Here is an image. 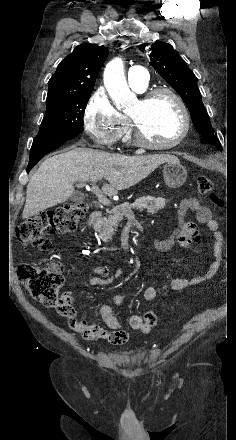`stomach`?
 Segmentation results:
<instances>
[{
	"label": "stomach",
	"instance_id": "0dacf381",
	"mask_svg": "<svg viewBox=\"0 0 236 440\" xmlns=\"http://www.w3.org/2000/svg\"><path fill=\"white\" fill-rule=\"evenodd\" d=\"M162 171L164 182L170 188H179L186 181L187 171L178 159L165 162Z\"/></svg>",
	"mask_w": 236,
	"mask_h": 440
}]
</instances>
